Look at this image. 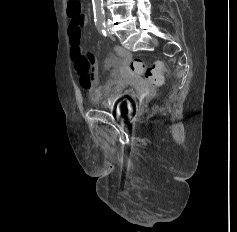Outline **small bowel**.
<instances>
[{
  "label": "small bowel",
  "instance_id": "c3829d8e",
  "mask_svg": "<svg viewBox=\"0 0 237 232\" xmlns=\"http://www.w3.org/2000/svg\"><path fill=\"white\" fill-rule=\"evenodd\" d=\"M86 23L87 17L82 14L80 18H71L68 25L71 57L80 84L93 101L106 100L108 104L115 103L128 92L124 75L129 71L131 54L123 47H115L116 57L106 59L104 64L109 76L103 84H99L95 57L92 53L85 55L81 46V29Z\"/></svg>",
  "mask_w": 237,
  "mask_h": 232
}]
</instances>
